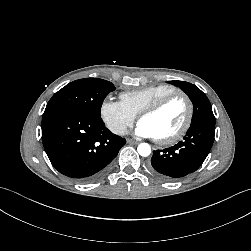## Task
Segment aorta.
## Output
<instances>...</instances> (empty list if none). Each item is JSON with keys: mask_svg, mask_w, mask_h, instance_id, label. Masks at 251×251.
I'll return each mask as SVG.
<instances>
[{"mask_svg": "<svg viewBox=\"0 0 251 251\" xmlns=\"http://www.w3.org/2000/svg\"><path fill=\"white\" fill-rule=\"evenodd\" d=\"M140 156L147 157L151 154V147L148 143H141L137 147Z\"/></svg>", "mask_w": 251, "mask_h": 251, "instance_id": "obj_1", "label": "aorta"}]
</instances>
